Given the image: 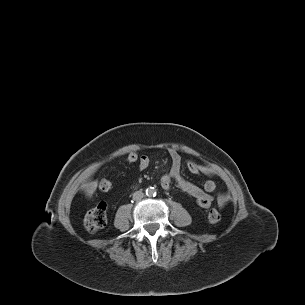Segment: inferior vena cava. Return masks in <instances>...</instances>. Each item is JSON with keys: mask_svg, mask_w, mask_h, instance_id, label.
Masks as SVG:
<instances>
[{"mask_svg": "<svg viewBox=\"0 0 305 305\" xmlns=\"http://www.w3.org/2000/svg\"><path fill=\"white\" fill-rule=\"evenodd\" d=\"M144 197V193L142 191H136L133 193V200L139 201Z\"/></svg>", "mask_w": 305, "mask_h": 305, "instance_id": "obj_1", "label": "inferior vena cava"}]
</instances>
